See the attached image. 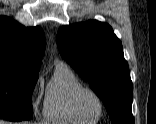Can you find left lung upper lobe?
Listing matches in <instances>:
<instances>
[{
	"label": "left lung upper lobe",
	"mask_w": 156,
	"mask_h": 124,
	"mask_svg": "<svg viewBox=\"0 0 156 124\" xmlns=\"http://www.w3.org/2000/svg\"><path fill=\"white\" fill-rule=\"evenodd\" d=\"M57 46L103 101L112 124H134L129 67L111 26L94 20L62 26Z\"/></svg>",
	"instance_id": "5c2ea615"
}]
</instances>
